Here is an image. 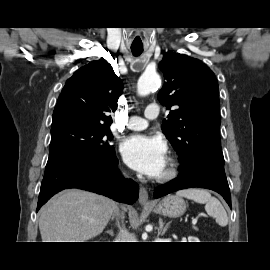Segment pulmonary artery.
I'll return each mask as SVG.
<instances>
[{
	"instance_id": "obj_1",
	"label": "pulmonary artery",
	"mask_w": 270,
	"mask_h": 270,
	"mask_svg": "<svg viewBox=\"0 0 270 270\" xmlns=\"http://www.w3.org/2000/svg\"><path fill=\"white\" fill-rule=\"evenodd\" d=\"M159 115V107L157 105H149L145 110L146 118L139 116L130 117L126 123L127 128L131 130H143L148 126V119H155Z\"/></svg>"
}]
</instances>
